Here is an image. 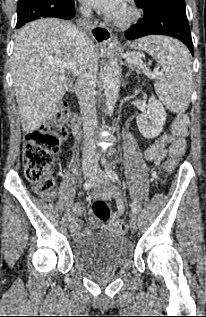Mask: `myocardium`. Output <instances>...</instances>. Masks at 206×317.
<instances>
[{"mask_svg":"<svg viewBox=\"0 0 206 317\" xmlns=\"http://www.w3.org/2000/svg\"><path fill=\"white\" fill-rule=\"evenodd\" d=\"M139 10L131 3L126 2L124 4L123 13L117 15L114 19L116 25L120 27H127L133 24L139 17Z\"/></svg>","mask_w":206,"mask_h":317,"instance_id":"myocardium-1","label":"myocardium"}]
</instances>
